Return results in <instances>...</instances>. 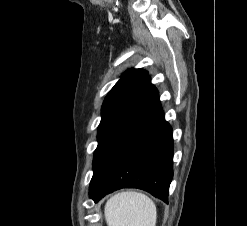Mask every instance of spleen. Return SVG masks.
Masks as SVG:
<instances>
[{"mask_svg":"<svg viewBox=\"0 0 247 226\" xmlns=\"http://www.w3.org/2000/svg\"><path fill=\"white\" fill-rule=\"evenodd\" d=\"M108 226H155V203L138 192H122L111 197L105 205Z\"/></svg>","mask_w":247,"mask_h":226,"instance_id":"obj_1","label":"spleen"}]
</instances>
